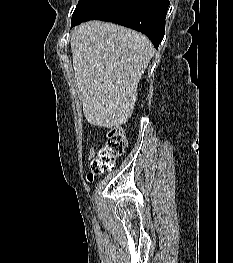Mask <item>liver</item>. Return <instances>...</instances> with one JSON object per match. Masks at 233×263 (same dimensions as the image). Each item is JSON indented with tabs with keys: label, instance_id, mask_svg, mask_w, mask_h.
<instances>
[{
	"label": "liver",
	"instance_id": "6515ba94",
	"mask_svg": "<svg viewBox=\"0 0 233 263\" xmlns=\"http://www.w3.org/2000/svg\"><path fill=\"white\" fill-rule=\"evenodd\" d=\"M70 45L86 120L109 129L125 124L154 55L150 40L120 25L89 21L73 31Z\"/></svg>",
	"mask_w": 233,
	"mask_h": 263
}]
</instances>
